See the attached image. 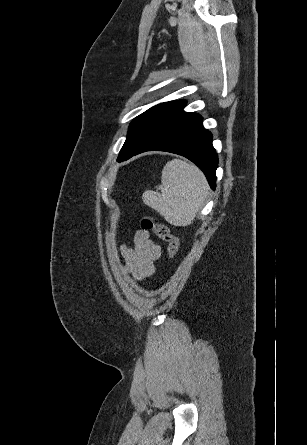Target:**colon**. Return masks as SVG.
I'll list each match as a JSON object with an SVG mask.
<instances>
[{"label":"colon","instance_id":"1","mask_svg":"<svg viewBox=\"0 0 307 445\" xmlns=\"http://www.w3.org/2000/svg\"><path fill=\"white\" fill-rule=\"evenodd\" d=\"M141 228L145 231H153L160 239L167 243V254L169 259H173L179 249V238L164 224L155 222L151 217H144L141 220Z\"/></svg>","mask_w":307,"mask_h":445}]
</instances>
